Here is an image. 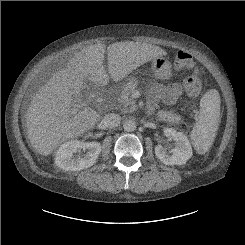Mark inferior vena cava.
<instances>
[{"label":"inferior vena cava","instance_id":"inferior-vena-cava-1","mask_svg":"<svg viewBox=\"0 0 245 245\" xmlns=\"http://www.w3.org/2000/svg\"><path fill=\"white\" fill-rule=\"evenodd\" d=\"M121 117L118 114L110 113L104 116L103 122L108 128H115L120 124Z\"/></svg>","mask_w":245,"mask_h":245}]
</instances>
